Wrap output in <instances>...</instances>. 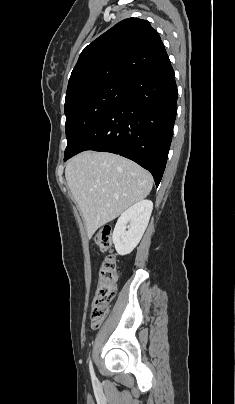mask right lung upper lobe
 Returning <instances> with one entry per match:
<instances>
[{"instance_id":"cb5924a9","label":"right lung upper lobe","mask_w":235,"mask_h":404,"mask_svg":"<svg viewBox=\"0 0 235 404\" xmlns=\"http://www.w3.org/2000/svg\"><path fill=\"white\" fill-rule=\"evenodd\" d=\"M168 58L158 32L146 20L128 18L84 48L73 69L66 100L105 83H125Z\"/></svg>"}]
</instances>
